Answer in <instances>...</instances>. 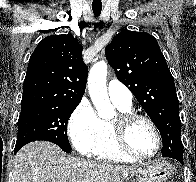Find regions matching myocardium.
Listing matches in <instances>:
<instances>
[{"label":"myocardium","instance_id":"1","mask_svg":"<svg viewBox=\"0 0 196 182\" xmlns=\"http://www.w3.org/2000/svg\"><path fill=\"white\" fill-rule=\"evenodd\" d=\"M138 120L147 122L154 131L156 137V148L149 155L136 153L131 149L127 141L129 127ZM110 124L115 145L126 156L135 160H148L155 157L160 152L162 146L161 133L157 124L150 117L133 111L120 112Z\"/></svg>","mask_w":196,"mask_h":182}]
</instances>
